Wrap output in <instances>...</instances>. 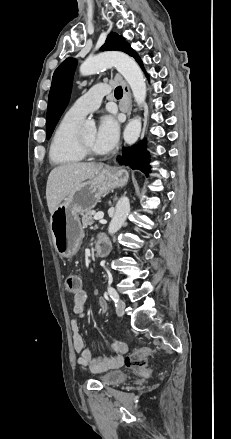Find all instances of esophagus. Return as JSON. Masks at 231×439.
Here are the masks:
<instances>
[{
  "instance_id": "1",
  "label": "esophagus",
  "mask_w": 231,
  "mask_h": 439,
  "mask_svg": "<svg viewBox=\"0 0 231 439\" xmlns=\"http://www.w3.org/2000/svg\"><path fill=\"white\" fill-rule=\"evenodd\" d=\"M124 98L127 103V116L129 117L132 110V96L127 83H124Z\"/></svg>"
}]
</instances>
